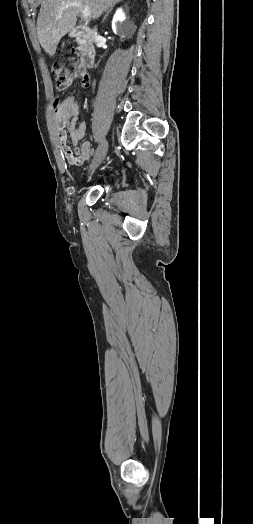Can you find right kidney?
Here are the masks:
<instances>
[{"instance_id":"ca27d5eb","label":"right kidney","mask_w":253,"mask_h":524,"mask_svg":"<svg viewBox=\"0 0 253 524\" xmlns=\"http://www.w3.org/2000/svg\"><path fill=\"white\" fill-rule=\"evenodd\" d=\"M125 20V15L123 13L122 8H119L112 20V29L115 34H123L124 33V27H123V21Z\"/></svg>"}]
</instances>
